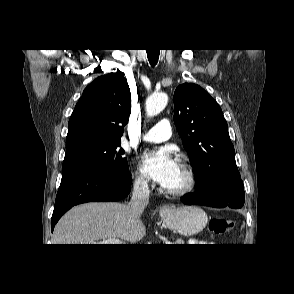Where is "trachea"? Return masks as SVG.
I'll return each mask as SVG.
<instances>
[{
	"instance_id": "3493384b",
	"label": "trachea",
	"mask_w": 294,
	"mask_h": 294,
	"mask_svg": "<svg viewBox=\"0 0 294 294\" xmlns=\"http://www.w3.org/2000/svg\"><path fill=\"white\" fill-rule=\"evenodd\" d=\"M146 52H147V56H148V60H149L150 64L152 66H155L158 62L159 50L150 49V50H146Z\"/></svg>"
}]
</instances>
